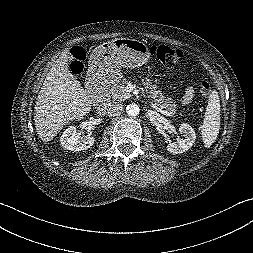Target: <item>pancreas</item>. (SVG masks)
Masks as SVG:
<instances>
[{
  "instance_id": "cf45deb5",
  "label": "pancreas",
  "mask_w": 253,
  "mask_h": 253,
  "mask_svg": "<svg viewBox=\"0 0 253 253\" xmlns=\"http://www.w3.org/2000/svg\"><path fill=\"white\" fill-rule=\"evenodd\" d=\"M127 84L128 80L123 79L119 85L114 87V90L112 91V100L114 102H122L131 97V94L126 90ZM143 85L147 97L150 98L157 107L165 109L172 114L176 112V104L172 103L170 98H166L162 91L159 90L158 86L152 84L150 79L146 78L145 81H143Z\"/></svg>"
}]
</instances>
